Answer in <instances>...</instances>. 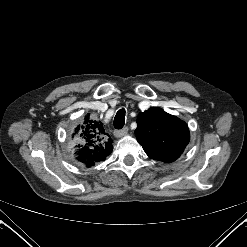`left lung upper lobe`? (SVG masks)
<instances>
[{"label":"left lung upper lobe","mask_w":247,"mask_h":247,"mask_svg":"<svg viewBox=\"0 0 247 247\" xmlns=\"http://www.w3.org/2000/svg\"><path fill=\"white\" fill-rule=\"evenodd\" d=\"M135 134L150 158L167 163L180 157L190 137L182 120L158 107L139 114Z\"/></svg>","instance_id":"left-lung-upper-lobe-1"}]
</instances>
